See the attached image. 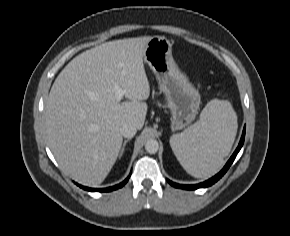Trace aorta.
Masks as SVG:
<instances>
[{"mask_svg": "<svg viewBox=\"0 0 290 236\" xmlns=\"http://www.w3.org/2000/svg\"><path fill=\"white\" fill-rule=\"evenodd\" d=\"M159 149V143L156 139H149L145 143V150L149 154H155Z\"/></svg>", "mask_w": 290, "mask_h": 236, "instance_id": "762f6f07", "label": "aorta"}]
</instances>
